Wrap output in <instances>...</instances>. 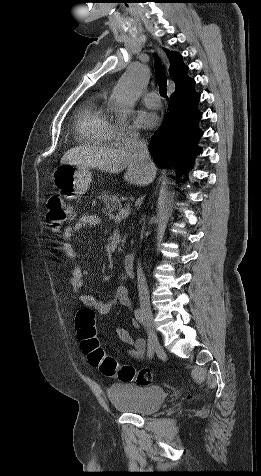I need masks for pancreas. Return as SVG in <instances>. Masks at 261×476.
Here are the masks:
<instances>
[{"mask_svg":"<svg viewBox=\"0 0 261 476\" xmlns=\"http://www.w3.org/2000/svg\"><path fill=\"white\" fill-rule=\"evenodd\" d=\"M99 199L104 203V210L108 213L115 212L116 210H120L122 208L121 200L116 195L104 193L99 196ZM122 243H124V240Z\"/></svg>","mask_w":261,"mask_h":476,"instance_id":"1","label":"pancreas"}]
</instances>
